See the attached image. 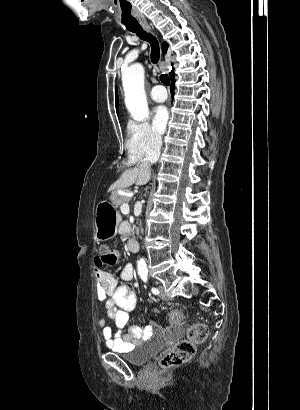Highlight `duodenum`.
<instances>
[{"label":"duodenum","instance_id":"1","mask_svg":"<svg viewBox=\"0 0 300 410\" xmlns=\"http://www.w3.org/2000/svg\"><path fill=\"white\" fill-rule=\"evenodd\" d=\"M128 248H129V250L132 251V252L137 251V249H138V244H137V242L134 241V240H131V241L128 243Z\"/></svg>","mask_w":300,"mask_h":410}]
</instances>
